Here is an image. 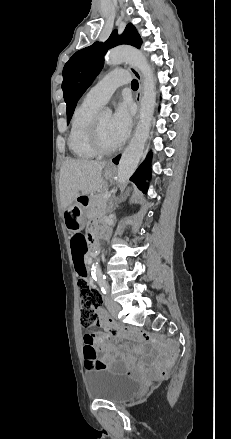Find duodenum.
Masks as SVG:
<instances>
[{"instance_id":"410a0bca","label":"duodenum","mask_w":231,"mask_h":439,"mask_svg":"<svg viewBox=\"0 0 231 439\" xmlns=\"http://www.w3.org/2000/svg\"><path fill=\"white\" fill-rule=\"evenodd\" d=\"M90 243L92 244V246L95 245V240H94V238L90 241Z\"/></svg>"}]
</instances>
